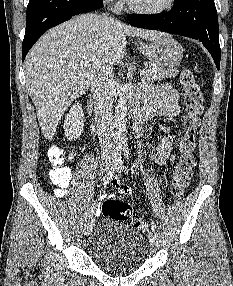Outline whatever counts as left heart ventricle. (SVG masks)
<instances>
[{"label":"left heart ventricle","instance_id":"obj_1","mask_svg":"<svg viewBox=\"0 0 233 286\" xmlns=\"http://www.w3.org/2000/svg\"><path fill=\"white\" fill-rule=\"evenodd\" d=\"M131 1L135 5L147 9L159 8L166 3V0H131Z\"/></svg>","mask_w":233,"mask_h":286}]
</instances>
